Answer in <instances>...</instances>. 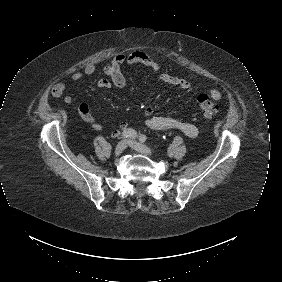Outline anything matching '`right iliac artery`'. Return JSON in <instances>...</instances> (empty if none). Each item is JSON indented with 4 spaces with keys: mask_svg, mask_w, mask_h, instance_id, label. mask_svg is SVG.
Segmentation results:
<instances>
[{
    "mask_svg": "<svg viewBox=\"0 0 282 282\" xmlns=\"http://www.w3.org/2000/svg\"><path fill=\"white\" fill-rule=\"evenodd\" d=\"M137 137V132L134 129H127L121 135V138L134 139Z\"/></svg>",
    "mask_w": 282,
    "mask_h": 282,
    "instance_id": "right-iliac-artery-1",
    "label": "right iliac artery"
}]
</instances>
